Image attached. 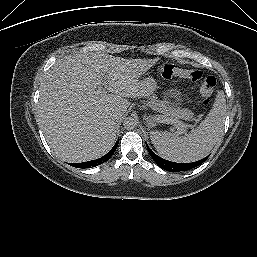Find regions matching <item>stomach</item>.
I'll use <instances>...</instances> for the list:
<instances>
[{"instance_id":"1","label":"stomach","mask_w":257,"mask_h":257,"mask_svg":"<svg viewBox=\"0 0 257 257\" xmlns=\"http://www.w3.org/2000/svg\"><path fill=\"white\" fill-rule=\"evenodd\" d=\"M159 88L156 80L148 77L140 82L141 96L152 95Z\"/></svg>"}]
</instances>
